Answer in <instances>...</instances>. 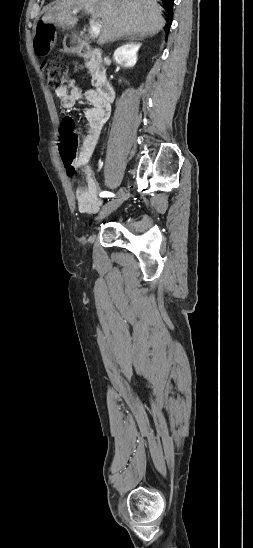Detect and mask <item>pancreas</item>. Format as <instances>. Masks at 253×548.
<instances>
[{"label": "pancreas", "mask_w": 253, "mask_h": 548, "mask_svg": "<svg viewBox=\"0 0 253 548\" xmlns=\"http://www.w3.org/2000/svg\"><path fill=\"white\" fill-rule=\"evenodd\" d=\"M86 67L88 68L89 72L92 75V85L96 86L97 85L96 81L100 77V67H99V65L97 64L96 61L91 60V61L86 62Z\"/></svg>", "instance_id": "obj_1"}]
</instances>
